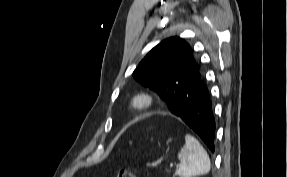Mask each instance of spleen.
I'll return each mask as SVG.
<instances>
[{
    "mask_svg": "<svg viewBox=\"0 0 287 177\" xmlns=\"http://www.w3.org/2000/svg\"><path fill=\"white\" fill-rule=\"evenodd\" d=\"M180 166L176 174L180 177H195L210 171V159L199 141L191 135L185 136V145L178 154Z\"/></svg>",
    "mask_w": 287,
    "mask_h": 177,
    "instance_id": "obj_1",
    "label": "spleen"
}]
</instances>
